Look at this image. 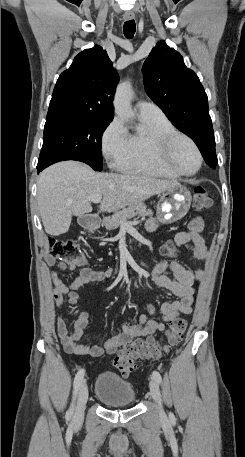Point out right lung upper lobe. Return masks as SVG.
Masks as SVG:
<instances>
[{
	"label": "right lung upper lobe",
	"mask_w": 245,
	"mask_h": 457,
	"mask_svg": "<svg viewBox=\"0 0 245 457\" xmlns=\"http://www.w3.org/2000/svg\"><path fill=\"white\" fill-rule=\"evenodd\" d=\"M119 76L100 46L79 53L57 80L48 113L83 112L114 117Z\"/></svg>",
	"instance_id": "1"
}]
</instances>
